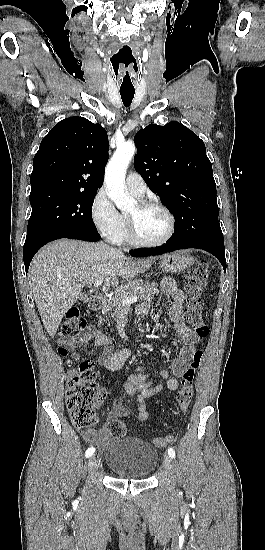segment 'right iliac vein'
Instances as JSON below:
<instances>
[{"label":"right iliac vein","instance_id":"63e3f726","mask_svg":"<svg viewBox=\"0 0 265 550\" xmlns=\"http://www.w3.org/2000/svg\"><path fill=\"white\" fill-rule=\"evenodd\" d=\"M97 467V460L94 456H92L88 461V468L90 471L96 469Z\"/></svg>","mask_w":265,"mask_h":550}]
</instances>
